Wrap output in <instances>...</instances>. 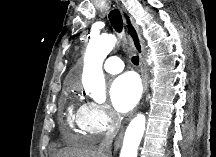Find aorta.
Wrapping results in <instances>:
<instances>
[{
	"label": "aorta",
	"instance_id": "1",
	"mask_svg": "<svg viewBox=\"0 0 216 157\" xmlns=\"http://www.w3.org/2000/svg\"><path fill=\"white\" fill-rule=\"evenodd\" d=\"M116 42L117 39L114 35L104 34L91 39L87 46L82 83L84 89L90 92V96L98 103H102L106 99L103 62ZM145 126L144 115L139 114L131 120L125 132L120 157H137Z\"/></svg>",
	"mask_w": 216,
	"mask_h": 157
}]
</instances>
